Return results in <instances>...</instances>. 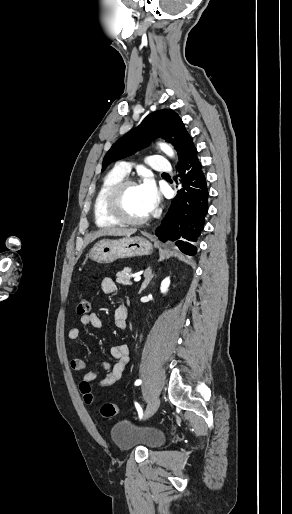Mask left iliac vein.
Wrapping results in <instances>:
<instances>
[{"label": "left iliac vein", "instance_id": "1", "mask_svg": "<svg viewBox=\"0 0 292 514\" xmlns=\"http://www.w3.org/2000/svg\"><path fill=\"white\" fill-rule=\"evenodd\" d=\"M160 406V399L158 397L151 400L146 408L145 411V418H150L159 408Z\"/></svg>", "mask_w": 292, "mask_h": 514}]
</instances>
